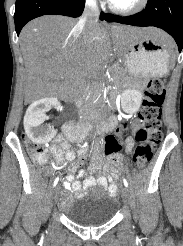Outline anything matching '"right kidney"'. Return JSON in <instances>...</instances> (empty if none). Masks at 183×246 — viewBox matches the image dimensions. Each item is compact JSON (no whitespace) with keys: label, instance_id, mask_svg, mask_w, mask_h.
<instances>
[{"label":"right kidney","instance_id":"ca27d5eb","mask_svg":"<svg viewBox=\"0 0 183 246\" xmlns=\"http://www.w3.org/2000/svg\"><path fill=\"white\" fill-rule=\"evenodd\" d=\"M62 109L56 98L47 97L32 103L24 117V129L29 139L36 144H45L55 135L54 129L48 125L43 126L47 120L46 112L51 108Z\"/></svg>","mask_w":183,"mask_h":246}]
</instances>
